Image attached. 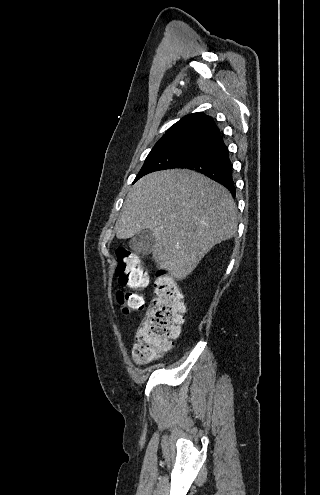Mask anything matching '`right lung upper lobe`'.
<instances>
[{
	"mask_svg": "<svg viewBox=\"0 0 320 495\" xmlns=\"http://www.w3.org/2000/svg\"><path fill=\"white\" fill-rule=\"evenodd\" d=\"M219 133L211 117L197 112L183 117L172 125L156 145L185 139L208 141Z\"/></svg>",
	"mask_w": 320,
	"mask_h": 495,
	"instance_id": "obj_1",
	"label": "right lung upper lobe"
}]
</instances>
